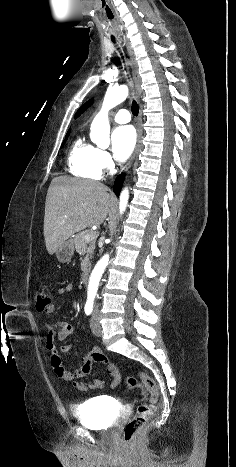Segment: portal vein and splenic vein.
<instances>
[{"instance_id":"obj_1","label":"portal vein and splenic vein","mask_w":236,"mask_h":467,"mask_svg":"<svg viewBox=\"0 0 236 467\" xmlns=\"http://www.w3.org/2000/svg\"><path fill=\"white\" fill-rule=\"evenodd\" d=\"M96 234H97L96 232H91V233L87 234L85 236V240L90 241V240L94 239L96 237Z\"/></svg>"}]
</instances>
